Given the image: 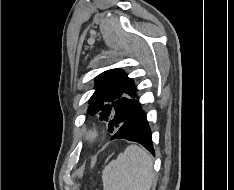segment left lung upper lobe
<instances>
[{"mask_svg":"<svg viewBox=\"0 0 234 190\" xmlns=\"http://www.w3.org/2000/svg\"><path fill=\"white\" fill-rule=\"evenodd\" d=\"M136 98L132 79L119 69L108 70L96 77L95 92L89 99L87 111L109 122L108 131L113 133L136 107Z\"/></svg>","mask_w":234,"mask_h":190,"instance_id":"obj_1","label":"left lung upper lobe"}]
</instances>
